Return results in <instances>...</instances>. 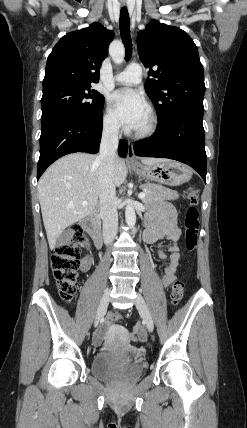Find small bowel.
Segmentation results:
<instances>
[{"mask_svg":"<svg viewBox=\"0 0 247 428\" xmlns=\"http://www.w3.org/2000/svg\"><path fill=\"white\" fill-rule=\"evenodd\" d=\"M146 230L144 238L148 243H154L160 239H168L172 244L168 247L170 255L163 251H158V256L166 260L163 270L162 285L169 287L176 279V271L179 266L181 253L178 246L180 238V229L177 226L176 211L172 204L164 202L160 205L153 206L147 217ZM93 259L87 256L82 261V270L88 271L92 265ZM103 341V331L100 330L94 337V343L100 345Z\"/></svg>","mask_w":247,"mask_h":428,"instance_id":"1","label":"small bowel"}]
</instances>
